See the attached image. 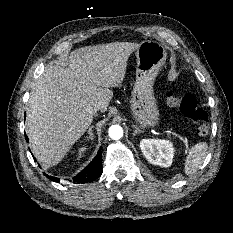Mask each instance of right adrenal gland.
<instances>
[{"label": "right adrenal gland", "mask_w": 233, "mask_h": 233, "mask_svg": "<svg viewBox=\"0 0 233 233\" xmlns=\"http://www.w3.org/2000/svg\"><path fill=\"white\" fill-rule=\"evenodd\" d=\"M92 128H93V126H91V127L89 128V130H88L89 136L87 137V138H89V139H91V140L94 139L93 132H92Z\"/></svg>", "instance_id": "right-adrenal-gland-1"}]
</instances>
